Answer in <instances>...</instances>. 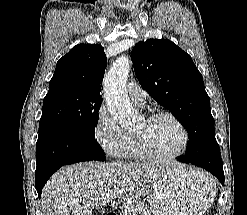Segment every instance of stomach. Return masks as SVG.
Segmentation results:
<instances>
[{
	"label": "stomach",
	"instance_id": "1",
	"mask_svg": "<svg viewBox=\"0 0 247 215\" xmlns=\"http://www.w3.org/2000/svg\"><path fill=\"white\" fill-rule=\"evenodd\" d=\"M214 180L196 168H172L152 188L149 202L155 215H202L213 202Z\"/></svg>",
	"mask_w": 247,
	"mask_h": 215
}]
</instances>
